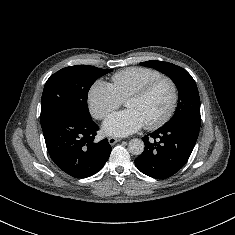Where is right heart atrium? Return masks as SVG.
Listing matches in <instances>:
<instances>
[{"label": "right heart atrium", "mask_w": 235, "mask_h": 235, "mask_svg": "<svg viewBox=\"0 0 235 235\" xmlns=\"http://www.w3.org/2000/svg\"><path fill=\"white\" fill-rule=\"evenodd\" d=\"M90 113L96 119H103L121 104L112 86L104 81H96L89 89L87 96Z\"/></svg>", "instance_id": "obj_1"}]
</instances>
